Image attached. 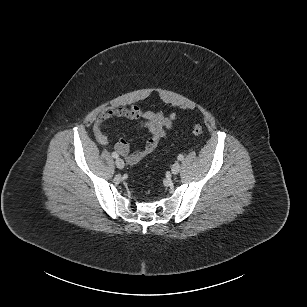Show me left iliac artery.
Returning a JSON list of instances; mask_svg holds the SVG:
<instances>
[{"mask_svg":"<svg viewBox=\"0 0 307 307\" xmlns=\"http://www.w3.org/2000/svg\"><path fill=\"white\" fill-rule=\"evenodd\" d=\"M177 158H178L179 161H182L184 159V156L182 154H180V155H178Z\"/></svg>","mask_w":307,"mask_h":307,"instance_id":"1","label":"left iliac artery"}]
</instances>
